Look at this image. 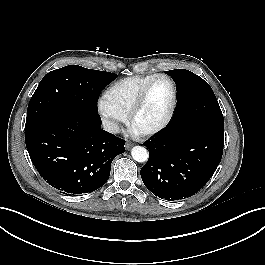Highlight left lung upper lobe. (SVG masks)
<instances>
[{
  "label": "left lung upper lobe",
  "mask_w": 265,
  "mask_h": 265,
  "mask_svg": "<svg viewBox=\"0 0 265 265\" xmlns=\"http://www.w3.org/2000/svg\"><path fill=\"white\" fill-rule=\"evenodd\" d=\"M177 84V106L169 126L202 123L224 130L223 115L209 84L185 70L165 71Z\"/></svg>",
  "instance_id": "1"
}]
</instances>
